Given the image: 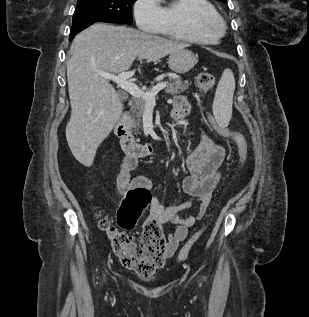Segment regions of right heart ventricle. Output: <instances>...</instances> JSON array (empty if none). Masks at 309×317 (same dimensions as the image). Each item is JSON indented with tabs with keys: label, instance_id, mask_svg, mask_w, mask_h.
Instances as JSON below:
<instances>
[{
	"label": "right heart ventricle",
	"instance_id": "obj_1",
	"mask_svg": "<svg viewBox=\"0 0 309 317\" xmlns=\"http://www.w3.org/2000/svg\"><path fill=\"white\" fill-rule=\"evenodd\" d=\"M207 12L218 15L208 0H172L162 6L163 25L157 32L165 37L197 44H214L216 35H205L195 32L191 27V17L195 12Z\"/></svg>",
	"mask_w": 309,
	"mask_h": 317
}]
</instances>
